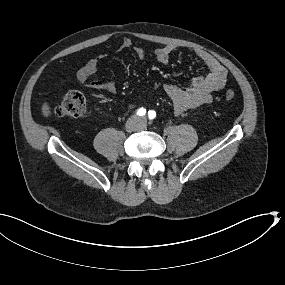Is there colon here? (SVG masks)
<instances>
[{
	"label": "colon",
	"instance_id": "5ec220e1",
	"mask_svg": "<svg viewBox=\"0 0 285 285\" xmlns=\"http://www.w3.org/2000/svg\"><path fill=\"white\" fill-rule=\"evenodd\" d=\"M235 97V92L231 89L225 92V98L231 100ZM55 113L59 117L68 119L82 118L86 113V101L84 95L77 90H70L63 93L59 103L55 107Z\"/></svg>",
	"mask_w": 285,
	"mask_h": 285
}]
</instances>
